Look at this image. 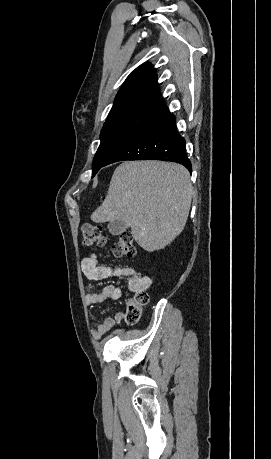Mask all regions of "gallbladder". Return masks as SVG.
<instances>
[{
  "mask_svg": "<svg viewBox=\"0 0 271 459\" xmlns=\"http://www.w3.org/2000/svg\"><path fill=\"white\" fill-rule=\"evenodd\" d=\"M129 228L125 222H118V220H114V222H110L108 224V229L112 235H119V233H122V231H125V229Z\"/></svg>",
  "mask_w": 271,
  "mask_h": 459,
  "instance_id": "1",
  "label": "gallbladder"
}]
</instances>
